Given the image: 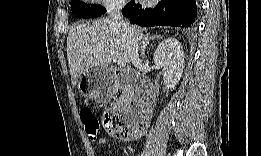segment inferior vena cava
Returning <instances> with one entry per match:
<instances>
[{
	"mask_svg": "<svg viewBox=\"0 0 261 156\" xmlns=\"http://www.w3.org/2000/svg\"><path fill=\"white\" fill-rule=\"evenodd\" d=\"M123 1H113L108 5V13L111 16V20L113 24L120 29L123 36L127 40L129 55L132 64L135 67H140L142 62L139 58V46L138 42L136 41L132 29L130 28L129 24L125 22L123 19L121 9L124 6Z\"/></svg>",
	"mask_w": 261,
	"mask_h": 156,
	"instance_id": "602c4592",
	"label": "inferior vena cava"
}]
</instances>
